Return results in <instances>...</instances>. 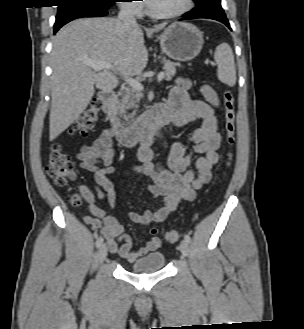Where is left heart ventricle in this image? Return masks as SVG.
Here are the masks:
<instances>
[{
	"label": "left heart ventricle",
	"instance_id": "left-heart-ventricle-1",
	"mask_svg": "<svg viewBox=\"0 0 304 329\" xmlns=\"http://www.w3.org/2000/svg\"><path fill=\"white\" fill-rule=\"evenodd\" d=\"M185 0H150L148 5L158 13L176 11L183 7Z\"/></svg>",
	"mask_w": 304,
	"mask_h": 329
}]
</instances>
